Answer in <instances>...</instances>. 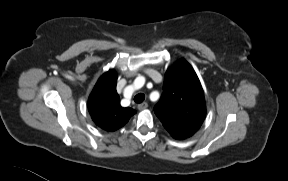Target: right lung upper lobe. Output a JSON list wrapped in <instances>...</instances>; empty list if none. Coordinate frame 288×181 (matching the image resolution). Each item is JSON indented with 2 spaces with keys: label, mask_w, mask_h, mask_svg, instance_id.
I'll use <instances>...</instances> for the list:
<instances>
[{
  "label": "right lung upper lobe",
  "mask_w": 288,
  "mask_h": 181,
  "mask_svg": "<svg viewBox=\"0 0 288 181\" xmlns=\"http://www.w3.org/2000/svg\"><path fill=\"white\" fill-rule=\"evenodd\" d=\"M116 82L117 74L111 69L100 77L88 99V110L93 121L106 131L123 127L136 113L132 108L121 107Z\"/></svg>",
  "instance_id": "1"
}]
</instances>
